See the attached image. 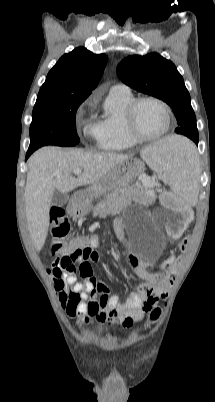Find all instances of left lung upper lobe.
I'll use <instances>...</instances> for the list:
<instances>
[{
	"label": "left lung upper lobe",
	"mask_w": 215,
	"mask_h": 402,
	"mask_svg": "<svg viewBox=\"0 0 215 402\" xmlns=\"http://www.w3.org/2000/svg\"><path fill=\"white\" fill-rule=\"evenodd\" d=\"M117 75L126 85L169 104L179 125L175 132L198 144V129L190 95L171 61L157 53L129 56L117 66Z\"/></svg>",
	"instance_id": "1"
}]
</instances>
